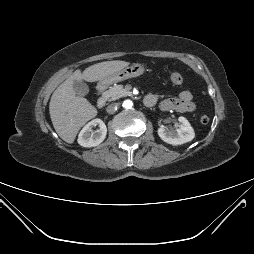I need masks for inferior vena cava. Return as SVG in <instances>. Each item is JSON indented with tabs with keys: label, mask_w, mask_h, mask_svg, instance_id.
<instances>
[{
	"label": "inferior vena cava",
	"mask_w": 254,
	"mask_h": 254,
	"mask_svg": "<svg viewBox=\"0 0 254 254\" xmlns=\"http://www.w3.org/2000/svg\"><path fill=\"white\" fill-rule=\"evenodd\" d=\"M118 104L117 103H112L110 105L107 106L106 108V111L109 113V114H113L117 108Z\"/></svg>",
	"instance_id": "1"
}]
</instances>
